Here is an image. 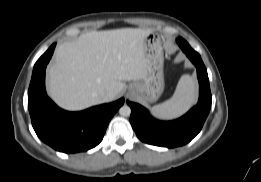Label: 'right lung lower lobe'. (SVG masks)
<instances>
[{"label": "right lung lower lobe", "mask_w": 261, "mask_h": 182, "mask_svg": "<svg viewBox=\"0 0 261 182\" xmlns=\"http://www.w3.org/2000/svg\"><path fill=\"white\" fill-rule=\"evenodd\" d=\"M56 44L35 63L28 90V108L37 136L57 151L76 153L98 145L124 98L81 112L60 109L46 94L45 70Z\"/></svg>", "instance_id": "right-lung-lower-lobe-1"}]
</instances>
